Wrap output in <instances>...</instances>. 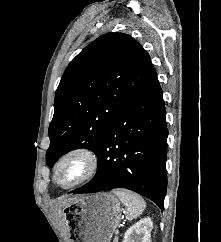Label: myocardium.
Segmentation results:
<instances>
[{"label":"myocardium","instance_id":"1","mask_svg":"<svg viewBox=\"0 0 221 242\" xmlns=\"http://www.w3.org/2000/svg\"><path fill=\"white\" fill-rule=\"evenodd\" d=\"M71 159H78L81 162V171L79 175L69 184L58 182V174L62 166ZM99 166L96 153L89 147L77 146L65 151L54 163L52 169V182L62 190H68L76 187L91 179L97 172Z\"/></svg>","mask_w":221,"mask_h":242}]
</instances>
